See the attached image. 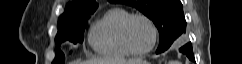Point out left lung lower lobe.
I'll return each instance as SVG.
<instances>
[{"instance_id":"obj_1","label":"left lung lower lobe","mask_w":242,"mask_h":64,"mask_svg":"<svg viewBox=\"0 0 242 64\" xmlns=\"http://www.w3.org/2000/svg\"><path fill=\"white\" fill-rule=\"evenodd\" d=\"M179 51L185 54L191 61H195L191 43H187L181 47Z\"/></svg>"}]
</instances>
